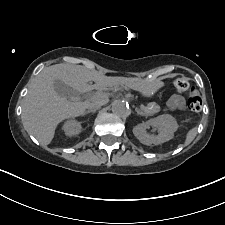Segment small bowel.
I'll use <instances>...</instances> for the list:
<instances>
[{
	"instance_id": "c3829d8e",
	"label": "small bowel",
	"mask_w": 225,
	"mask_h": 225,
	"mask_svg": "<svg viewBox=\"0 0 225 225\" xmlns=\"http://www.w3.org/2000/svg\"><path fill=\"white\" fill-rule=\"evenodd\" d=\"M168 107L171 110H184L185 101L184 98L178 94H173L168 100Z\"/></svg>"
}]
</instances>
